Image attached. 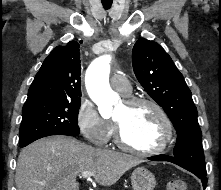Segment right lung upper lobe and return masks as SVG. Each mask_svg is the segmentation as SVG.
I'll use <instances>...</instances> for the list:
<instances>
[{"label":"right lung upper lobe","instance_id":"1","mask_svg":"<svg viewBox=\"0 0 221 190\" xmlns=\"http://www.w3.org/2000/svg\"><path fill=\"white\" fill-rule=\"evenodd\" d=\"M79 43L55 47L36 74L24 105L81 99Z\"/></svg>","mask_w":221,"mask_h":190}]
</instances>
